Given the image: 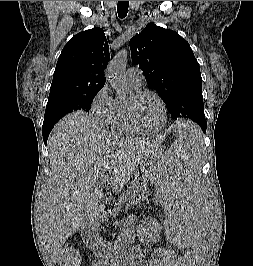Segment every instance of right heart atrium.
Listing matches in <instances>:
<instances>
[{
	"label": "right heart atrium",
	"mask_w": 253,
	"mask_h": 266,
	"mask_svg": "<svg viewBox=\"0 0 253 266\" xmlns=\"http://www.w3.org/2000/svg\"><path fill=\"white\" fill-rule=\"evenodd\" d=\"M115 100L109 93L107 85L102 86L92 99L90 110L103 124H107L113 113Z\"/></svg>",
	"instance_id": "right-heart-atrium-1"
}]
</instances>
